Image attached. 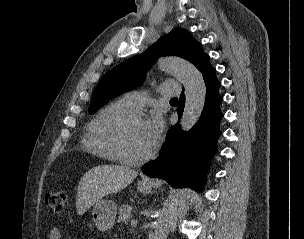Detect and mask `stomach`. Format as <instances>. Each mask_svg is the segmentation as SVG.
Returning a JSON list of instances; mask_svg holds the SVG:
<instances>
[{"label":"stomach","mask_w":304,"mask_h":239,"mask_svg":"<svg viewBox=\"0 0 304 239\" xmlns=\"http://www.w3.org/2000/svg\"><path fill=\"white\" fill-rule=\"evenodd\" d=\"M151 189L152 188L149 183H138V190L142 193H150ZM116 214L117 205L114 201L108 199H100L93 206L92 219L98 230L104 232L110 230L113 227L116 219Z\"/></svg>","instance_id":"0dacf381"}]
</instances>
